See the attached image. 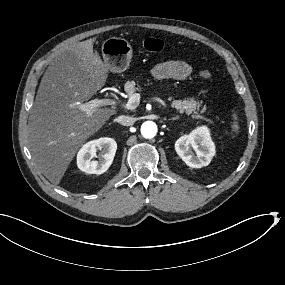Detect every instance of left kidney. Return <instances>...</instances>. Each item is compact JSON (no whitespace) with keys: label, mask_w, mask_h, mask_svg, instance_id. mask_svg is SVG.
Wrapping results in <instances>:
<instances>
[{"label":"left kidney","mask_w":285,"mask_h":285,"mask_svg":"<svg viewBox=\"0 0 285 285\" xmlns=\"http://www.w3.org/2000/svg\"><path fill=\"white\" fill-rule=\"evenodd\" d=\"M175 150L181 159L193 168L208 166L215 153L209 133L203 127L179 138L175 143Z\"/></svg>","instance_id":"1"}]
</instances>
